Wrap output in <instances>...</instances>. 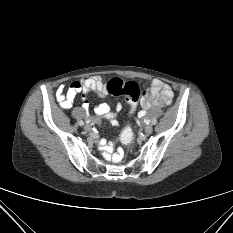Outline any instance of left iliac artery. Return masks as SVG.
Listing matches in <instances>:
<instances>
[{
  "label": "left iliac artery",
  "instance_id": "44dca946",
  "mask_svg": "<svg viewBox=\"0 0 233 233\" xmlns=\"http://www.w3.org/2000/svg\"><path fill=\"white\" fill-rule=\"evenodd\" d=\"M151 122H152L153 125L157 124V121L154 118L151 120Z\"/></svg>",
  "mask_w": 233,
  "mask_h": 233
}]
</instances>
